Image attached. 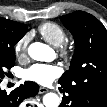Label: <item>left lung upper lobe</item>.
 <instances>
[{"label":"left lung upper lobe","instance_id":"1","mask_svg":"<svg viewBox=\"0 0 107 107\" xmlns=\"http://www.w3.org/2000/svg\"><path fill=\"white\" fill-rule=\"evenodd\" d=\"M61 21L74 36L75 52L69 70L59 83L74 90L69 107H81V85L98 78L107 80V30L98 19L84 11L64 15Z\"/></svg>","mask_w":107,"mask_h":107}]
</instances>
